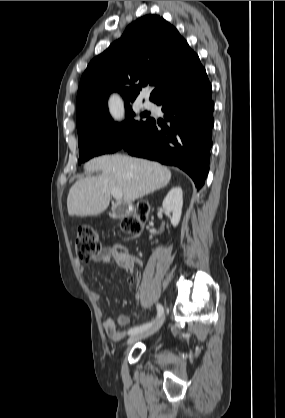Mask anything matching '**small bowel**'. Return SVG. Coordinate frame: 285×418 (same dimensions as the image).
Returning <instances> with one entry per match:
<instances>
[{"label": "small bowel", "instance_id": "1", "mask_svg": "<svg viewBox=\"0 0 285 418\" xmlns=\"http://www.w3.org/2000/svg\"><path fill=\"white\" fill-rule=\"evenodd\" d=\"M92 261L101 262L107 265L114 263L115 265L119 266L124 270L126 274V281L129 284L133 283V265H131L130 262H138L139 264L141 263V261L135 257L126 260L120 256V252L117 249L109 247L100 248ZM76 267L79 273L82 274L85 272V267L82 264L77 263ZM93 296L98 298V294L95 291H93ZM128 322V317L125 314L120 313L117 315L115 321L111 317H106L103 320V327L107 336L112 341L120 342L125 336V332L122 330V328L125 327Z\"/></svg>", "mask_w": 285, "mask_h": 418}]
</instances>
